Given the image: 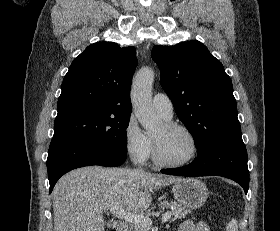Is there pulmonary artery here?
Instances as JSON below:
<instances>
[{"label": "pulmonary artery", "mask_w": 280, "mask_h": 231, "mask_svg": "<svg viewBox=\"0 0 280 231\" xmlns=\"http://www.w3.org/2000/svg\"><path fill=\"white\" fill-rule=\"evenodd\" d=\"M153 108L160 113L165 119L169 120L173 117V105L170 98L163 93H157L152 99Z\"/></svg>", "instance_id": "pulmonary-artery-1"}]
</instances>
